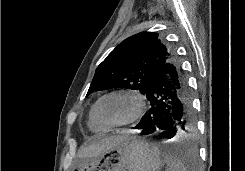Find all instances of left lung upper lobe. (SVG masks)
Masks as SVG:
<instances>
[{
	"label": "left lung upper lobe",
	"instance_id": "obj_1",
	"mask_svg": "<svg viewBox=\"0 0 245 171\" xmlns=\"http://www.w3.org/2000/svg\"><path fill=\"white\" fill-rule=\"evenodd\" d=\"M172 57L158 33L135 34L122 41L98 66L87 96L112 88L136 89L144 95Z\"/></svg>",
	"mask_w": 245,
	"mask_h": 171
}]
</instances>
